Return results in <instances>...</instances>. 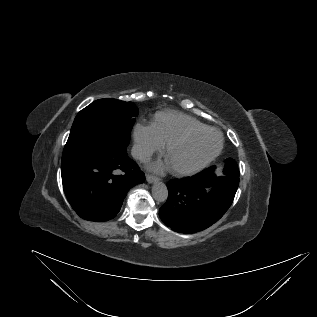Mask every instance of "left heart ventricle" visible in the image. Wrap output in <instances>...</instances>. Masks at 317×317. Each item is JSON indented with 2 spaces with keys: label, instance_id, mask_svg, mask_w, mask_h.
<instances>
[{
  "label": "left heart ventricle",
  "instance_id": "left-heart-ventricle-1",
  "mask_svg": "<svg viewBox=\"0 0 317 317\" xmlns=\"http://www.w3.org/2000/svg\"><path fill=\"white\" fill-rule=\"evenodd\" d=\"M218 144L219 136L215 132L201 133L174 147L165 159L171 169H186L208 157Z\"/></svg>",
  "mask_w": 317,
  "mask_h": 317
}]
</instances>
